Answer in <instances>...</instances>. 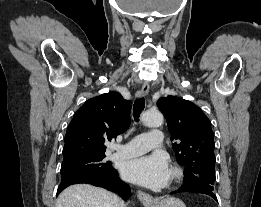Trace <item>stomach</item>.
Returning a JSON list of instances; mask_svg holds the SVG:
<instances>
[{
	"label": "stomach",
	"mask_w": 261,
	"mask_h": 207,
	"mask_svg": "<svg viewBox=\"0 0 261 207\" xmlns=\"http://www.w3.org/2000/svg\"><path fill=\"white\" fill-rule=\"evenodd\" d=\"M147 207H186L184 202L175 197H167L161 200H156L153 204Z\"/></svg>",
	"instance_id": "1"
}]
</instances>
